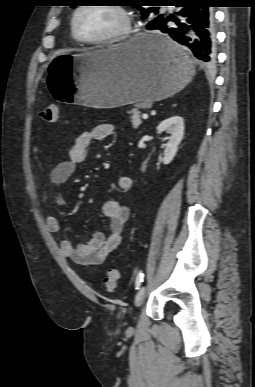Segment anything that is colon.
<instances>
[{"label":"colon","mask_w":255,"mask_h":387,"mask_svg":"<svg viewBox=\"0 0 255 387\" xmlns=\"http://www.w3.org/2000/svg\"><path fill=\"white\" fill-rule=\"evenodd\" d=\"M40 117L43 121L54 123L59 118V109L56 105H49L44 107L40 112ZM120 278V271L118 268H111L107 271L103 283L105 290L109 293L115 291Z\"/></svg>","instance_id":"5ec220e1"}]
</instances>
